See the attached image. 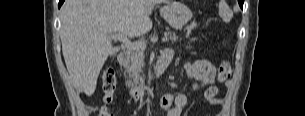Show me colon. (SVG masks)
I'll list each match as a JSON object with an SVG mask.
<instances>
[{
  "label": "colon",
  "instance_id": "1",
  "mask_svg": "<svg viewBox=\"0 0 305 116\" xmlns=\"http://www.w3.org/2000/svg\"><path fill=\"white\" fill-rule=\"evenodd\" d=\"M219 15L225 21L229 22L233 18V9L226 1H221L218 6ZM232 67L228 62H223L218 68V79L224 82L230 78ZM116 73L113 68L107 67L102 73V89H103V106L100 109L99 116H114L109 109V105L114 100L116 91Z\"/></svg>",
  "mask_w": 305,
  "mask_h": 116
}]
</instances>
